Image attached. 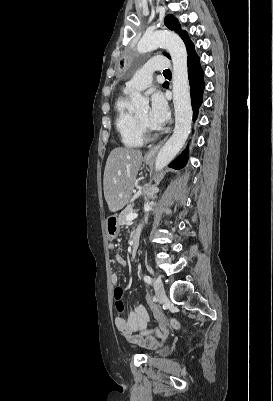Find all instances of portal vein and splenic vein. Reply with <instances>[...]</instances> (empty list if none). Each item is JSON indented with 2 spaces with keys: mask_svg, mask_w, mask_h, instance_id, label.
Segmentation results:
<instances>
[{
  "mask_svg": "<svg viewBox=\"0 0 273 401\" xmlns=\"http://www.w3.org/2000/svg\"><path fill=\"white\" fill-rule=\"evenodd\" d=\"M135 212L136 213H131V215H127V217H126L127 221H134V219H137L138 213L140 212V209L136 208Z\"/></svg>",
  "mask_w": 273,
  "mask_h": 401,
  "instance_id": "1",
  "label": "portal vein and splenic vein"
}]
</instances>
